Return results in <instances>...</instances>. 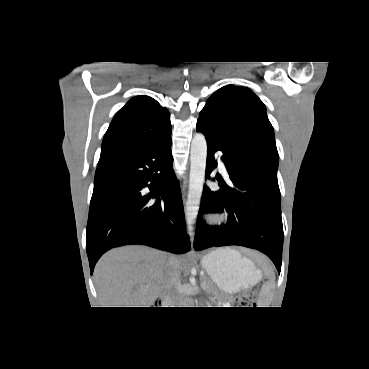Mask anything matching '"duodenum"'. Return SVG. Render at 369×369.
Instances as JSON below:
<instances>
[{
  "mask_svg": "<svg viewBox=\"0 0 369 369\" xmlns=\"http://www.w3.org/2000/svg\"><path fill=\"white\" fill-rule=\"evenodd\" d=\"M165 301H169V296H164Z\"/></svg>",
  "mask_w": 369,
  "mask_h": 369,
  "instance_id": "1",
  "label": "duodenum"
}]
</instances>
